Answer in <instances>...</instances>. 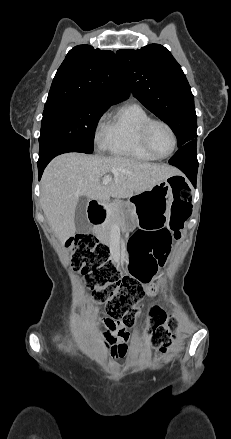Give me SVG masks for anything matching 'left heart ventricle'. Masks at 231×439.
<instances>
[{
  "label": "left heart ventricle",
  "instance_id": "b2bd125f",
  "mask_svg": "<svg viewBox=\"0 0 231 439\" xmlns=\"http://www.w3.org/2000/svg\"><path fill=\"white\" fill-rule=\"evenodd\" d=\"M149 140L152 149L158 155L167 154L172 148V136L162 125H154L150 131Z\"/></svg>",
  "mask_w": 231,
  "mask_h": 439
}]
</instances>
